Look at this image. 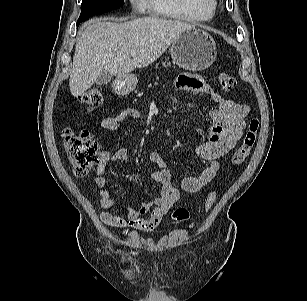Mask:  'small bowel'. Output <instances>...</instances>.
Instances as JSON below:
<instances>
[{
  "instance_id": "small-bowel-1",
  "label": "small bowel",
  "mask_w": 307,
  "mask_h": 301,
  "mask_svg": "<svg viewBox=\"0 0 307 301\" xmlns=\"http://www.w3.org/2000/svg\"><path fill=\"white\" fill-rule=\"evenodd\" d=\"M179 90L202 94L215 103L210 110L211 128L208 140L196 148L197 155L207 162V166L198 177H185L182 180V190L187 193H197L210 183L220 169L219 158L230 152L239 141L245 126V118L249 107L245 104L235 103L215 92L199 76L180 75L176 80ZM140 111L136 108H124L116 115L104 118L100 123L102 132L117 131L126 119H138ZM128 152L126 149L117 151H102L101 161L97 166L95 184L99 190V201L104 211L100 214L101 221L109 226L121 229L152 231L161 222L163 216L174 206L180 198V190L173 184V177L164 167V162L157 152L149 154L150 162L156 169L151 177L159 184V195L150 201L142 203L137 208L120 209V213L112 210L115 203L105 176L109 165L126 163ZM149 214L148 217H145Z\"/></svg>"
}]
</instances>
